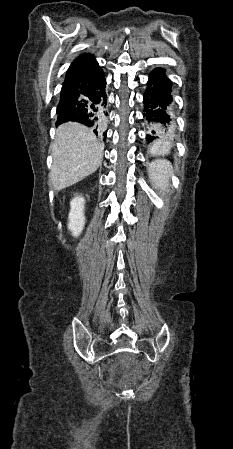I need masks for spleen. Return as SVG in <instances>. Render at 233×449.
Listing matches in <instances>:
<instances>
[{
	"label": "spleen",
	"instance_id": "1",
	"mask_svg": "<svg viewBox=\"0 0 233 449\" xmlns=\"http://www.w3.org/2000/svg\"><path fill=\"white\" fill-rule=\"evenodd\" d=\"M169 145L170 143H156L152 150L156 153H165L167 151L166 147ZM149 175L156 189L160 191L167 190L169 185V168L165 163L150 165Z\"/></svg>",
	"mask_w": 233,
	"mask_h": 449
}]
</instances>
